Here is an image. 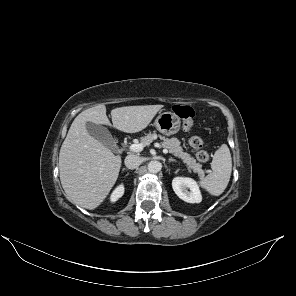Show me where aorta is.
I'll return each mask as SVG.
<instances>
[{"instance_id":"aorta-1","label":"aorta","mask_w":296,"mask_h":296,"mask_svg":"<svg viewBox=\"0 0 296 296\" xmlns=\"http://www.w3.org/2000/svg\"><path fill=\"white\" fill-rule=\"evenodd\" d=\"M161 163L159 161H150L148 163V171L150 173H158L161 170Z\"/></svg>"}]
</instances>
